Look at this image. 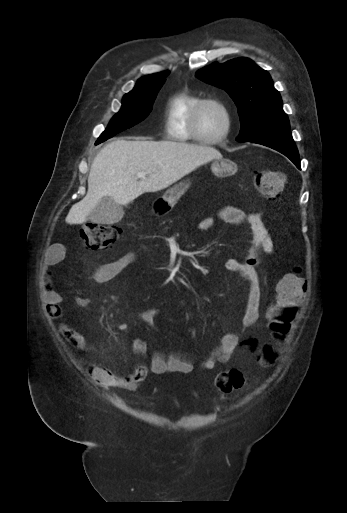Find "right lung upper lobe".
Listing matches in <instances>:
<instances>
[{
    "label": "right lung upper lobe",
    "mask_w": 347,
    "mask_h": 513,
    "mask_svg": "<svg viewBox=\"0 0 347 513\" xmlns=\"http://www.w3.org/2000/svg\"><path fill=\"white\" fill-rule=\"evenodd\" d=\"M168 74H169V72L165 71V72H160V73H156V74H152V75H148V76L142 77L141 79L138 80L136 85H141V84H144L146 82L163 79V78L167 77Z\"/></svg>",
    "instance_id": "right-lung-upper-lobe-1"
}]
</instances>
